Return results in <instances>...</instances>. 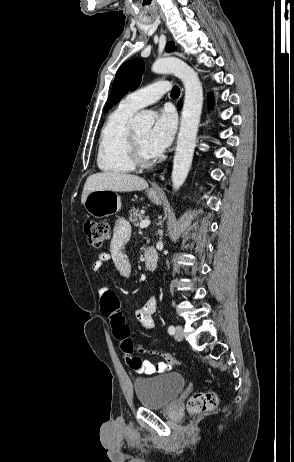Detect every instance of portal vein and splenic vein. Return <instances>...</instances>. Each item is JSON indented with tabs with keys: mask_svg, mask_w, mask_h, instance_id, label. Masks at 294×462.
Segmentation results:
<instances>
[{
	"mask_svg": "<svg viewBox=\"0 0 294 462\" xmlns=\"http://www.w3.org/2000/svg\"><path fill=\"white\" fill-rule=\"evenodd\" d=\"M150 225V221L149 220H143L140 222V228H146Z\"/></svg>",
	"mask_w": 294,
	"mask_h": 462,
	"instance_id": "18ae733b",
	"label": "portal vein and splenic vein"
}]
</instances>
